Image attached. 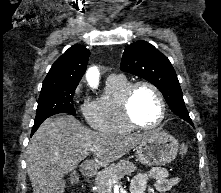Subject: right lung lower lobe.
<instances>
[{
	"label": "right lung lower lobe",
	"mask_w": 221,
	"mask_h": 193,
	"mask_svg": "<svg viewBox=\"0 0 221 193\" xmlns=\"http://www.w3.org/2000/svg\"><path fill=\"white\" fill-rule=\"evenodd\" d=\"M42 122H39V123H34V126L32 128V132H31V136L33 135V133L39 128L40 124Z\"/></svg>",
	"instance_id": "1"
}]
</instances>
